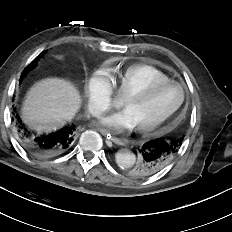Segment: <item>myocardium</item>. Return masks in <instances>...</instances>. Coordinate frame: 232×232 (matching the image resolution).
Instances as JSON below:
<instances>
[{
	"label": "myocardium",
	"instance_id": "1",
	"mask_svg": "<svg viewBox=\"0 0 232 232\" xmlns=\"http://www.w3.org/2000/svg\"><path fill=\"white\" fill-rule=\"evenodd\" d=\"M165 86H177L181 91L180 101L173 109H171L165 116H163L158 121L151 123V124L137 127L136 129L138 132H140L142 134H148V133H151V132L157 130L158 128L163 126L165 123H167L182 107V105L185 101V98H186V90H185L184 86L182 84H180L179 82L169 79L166 81L156 82V83L150 84V85H148L140 90L131 92L125 96V100H144V99L148 98L151 94H153L155 91H157Z\"/></svg>",
	"mask_w": 232,
	"mask_h": 232
}]
</instances>
